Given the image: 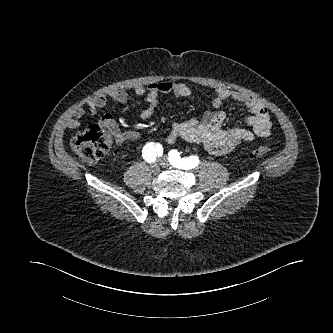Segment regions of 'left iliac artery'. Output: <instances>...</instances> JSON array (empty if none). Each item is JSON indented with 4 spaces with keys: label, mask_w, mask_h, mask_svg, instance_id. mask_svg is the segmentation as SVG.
I'll return each instance as SVG.
<instances>
[{
    "label": "left iliac artery",
    "mask_w": 333,
    "mask_h": 333,
    "mask_svg": "<svg viewBox=\"0 0 333 333\" xmlns=\"http://www.w3.org/2000/svg\"><path fill=\"white\" fill-rule=\"evenodd\" d=\"M168 159L172 166L179 169H192L199 164V158L197 156H190L181 158L177 150H171L168 154Z\"/></svg>",
    "instance_id": "44dca946"
}]
</instances>
